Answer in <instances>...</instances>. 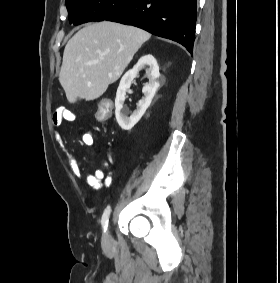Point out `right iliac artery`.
<instances>
[{
  "label": "right iliac artery",
  "mask_w": 280,
  "mask_h": 283,
  "mask_svg": "<svg viewBox=\"0 0 280 283\" xmlns=\"http://www.w3.org/2000/svg\"><path fill=\"white\" fill-rule=\"evenodd\" d=\"M110 212H111V208L107 207L102 215V227L104 229V232H106L107 230V226H108V221H109V216H110Z\"/></svg>",
  "instance_id": "obj_1"
}]
</instances>
